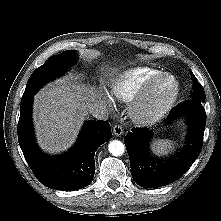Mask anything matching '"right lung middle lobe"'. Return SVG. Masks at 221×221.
Masks as SVG:
<instances>
[{
    "label": "right lung middle lobe",
    "mask_w": 221,
    "mask_h": 221,
    "mask_svg": "<svg viewBox=\"0 0 221 221\" xmlns=\"http://www.w3.org/2000/svg\"><path fill=\"white\" fill-rule=\"evenodd\" d=\"M76 59L74 50H67L61 54L51 56L42 66L37 68L30 76L21 102L34 95L46 82L60 76Z\"/></svg>",
    "instance_id": "dd1d6c3e"
}]
</instances>
